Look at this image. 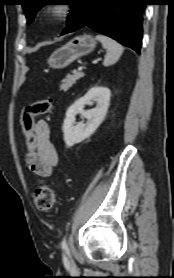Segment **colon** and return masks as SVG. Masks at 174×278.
<instances>
[{
  "instance_id": "5ec220e1",
  "label": "colon",
  "mask_w": 174,
  "mask_h": 278,
  "mask_svg": "<svg viewBox=\"0 0 174 278\" xmlns=\"http://www.w3.org/2000/svg\"><path fill=\"white\" fill-rule=\"evenodd\" d=\"M52 107L49 99L35 101L25 106L21 113V125L24 133V148L28 154L33 153L38 145L35 132V118L47 114ZM34 202L40 211L49 212L53 209L55 196L52 189L47 186H39L34 191Z\"/></svg>"
}]
</instances>
